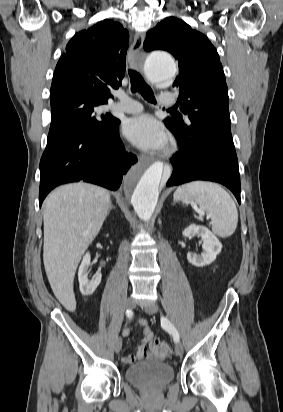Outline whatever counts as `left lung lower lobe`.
Segmentation results:
<instances>
[{
  "label": "left lung lower lobe",
  "mask_w": 283,
  "mask_h": 412,
  "mask_svg": "<svg viewBox=\"0 0 283 412\" xmlns=\"http://www.w3.org/2000/svg\"><path fill=\"white\" fill-rule=\"evenodd\" d=\"M178 142L179 152L171 158L173 173L167 186L193 180L214 181L225 185L240 199V174L237 157L208 150L204 140L188 129H170Z\"/></svg>",
  "instance_id": "1"
}]
</instances>
